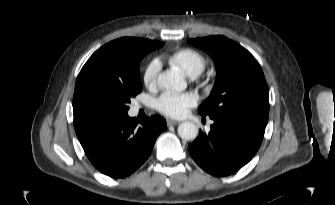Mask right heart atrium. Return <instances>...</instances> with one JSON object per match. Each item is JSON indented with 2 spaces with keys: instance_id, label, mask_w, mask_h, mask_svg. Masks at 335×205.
Listing matches in <instances>:
<instances>
[{
  "instance_id": "d8ad5b80",
  "label": "right heart atrium",
  "mask_w": 335,
  "mask_h": 205,
  "mask_svg": "<svg viewBox=\"0 0 335 205\" xmlns=\"http://www.w3.org/2000/svg\"><path fill=\"white\" fill-rule=\"evenodd\" d=\"M160 71V62L152 60L145 68L143 73V83L147 88L153 89L157 85V78Z\"/></svg>"
}]
</instances>
